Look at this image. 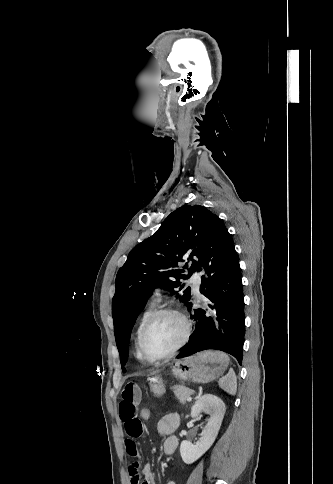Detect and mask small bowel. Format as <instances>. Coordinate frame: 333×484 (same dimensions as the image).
<instances>
[{
    "mask_svg": "<svg viewBox=\"0 0 333 484\" xmlns=\"http://www.w3.org/2000/svg\"><path fill=\"white\" fill-rule=\"evenodd\" d=\"M140 401V387L135 383L126 384L122 390L118 413L127 434L125 448L127 453L133 458H139L140 456L136 439L144 431L143 424L137 413V407ZM178 426L179 416L176 413L166 414L158 421L157 430L161 435L165 436L163 451L167 455H172L177 449L178 441L174 432ZM128 472L131 484H156L150 463L144 464L140 472L139 463L136 461L132 462L129 464ZM166 484H175V482L168 481Z\"/></svg>",
    "mask_w": 333,
    "mask_h": 484,
    "instance_id": "obj_1",
    "label": "small bowel"
}]
</instances>
